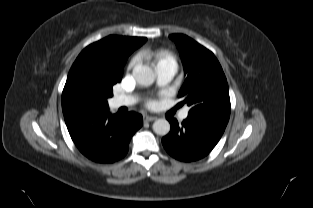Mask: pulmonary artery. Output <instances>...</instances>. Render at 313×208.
Segmentation results:
<instances>
[{
	"instance_id": "obj_1",
	"label": "pulmonary artery",
	"mask_w": 313,
	"mask_h": 208,
	"mask_svg": "<svg viewBox=\"0 0 313 208\" xmlns=\"http://www.w3.org/2000/svg\"><path fill=\"white\" fill-rule=\"evenodd\" d=\"M157 72V82L160 86H165L169 84L173 77L175 76L177 72V65L172 62L163 63L156 68ZM135 97L132 96H124V95H118L115 96L112 99V105L114 108L122 107V106H128L135 102ZM188 116V109H185L180 114V119L184 120Z\"/></svg>"
}]
</instances>
